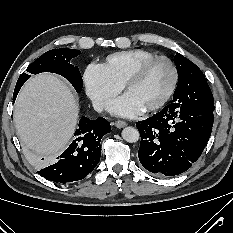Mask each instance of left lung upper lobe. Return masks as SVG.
I'll use <instances>...</instances> for the list:
<instances>
[{"instance_id":"left-lung-upper-lobe-1","label":"left lung upper lobe","mask_w":233,"mask_h":233,"mask_svg":"<svg viewBox=\"0 0 233 233\" xmlns=\"http://www.w3.org/2000/svg\"><path fill=\"white\" fill-rule=\"evenodd\" d=\"M178 72V85L173 103L214 111V100L202 71L190 60L177 53L174 58Z\"/></svg>"}]
</instances>
